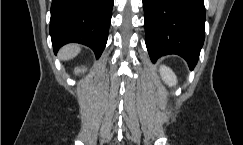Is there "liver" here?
I'll return each mask as SVG.
<instances>
[{
    "instance_id": "1",
    "label": "liver",
    "mask_w": 243,
    "mask_h": 145,
    "mask_svg": "<svg viewBox=\"0 0 243 145\" xmlns=\"http://www.w3.org/2000/svg\"><path fill=\"white\" fill-rule=\"evenodd\" d=\"M80 52V47L76 44H69L64 46L60 52L59 57L62 60H70L78 55Z\"/></svg>"
}]
</instances>
